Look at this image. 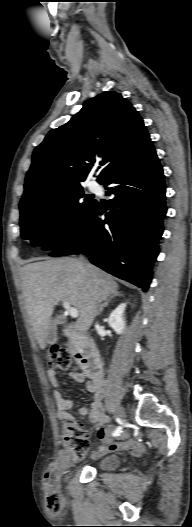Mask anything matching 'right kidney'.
<instances>
[{
  "label": "right kidney",
  "mask_w": 192,
  "mask_h": 527,
  "mask_svg": "<svg viewBox=\"0 0 192 527\" xmlns=\"http://www.w3.org/2000/svg\"><path fill=\"white\" fill-rule=\"evenodd\" d=\"M126 303H121L115 310L112 311L108 318V324L117 334H122L125 329L124 311Z\"/></svg>",
  "instance_id": "ca27d5eb"
}]
</instances>
